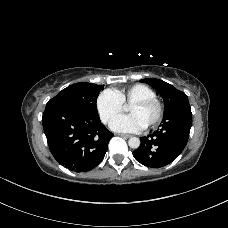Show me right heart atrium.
Returning <instances> with one entry per match:
<instances>
[{
    "label": "right heart atrium",
    "instance_id": "1",
    "mask_svg": "<svg viewBox=\"0 0 228 228\" xmlns=\"http://www.w3.org/2000/svg\"><path fill=\"white\" fill-rule=\"evenodd\" d=\"M123 103L116 91L105 89L96 98V109L104 123H109L123 111Z\"/></svg>",
    "mask_w": 228,
    "mask_h": 228
}]
</instances>
